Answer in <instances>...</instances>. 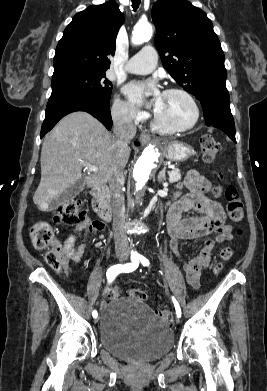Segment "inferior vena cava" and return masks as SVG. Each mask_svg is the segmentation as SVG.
<instances>
[{"label": "inferior vena cava", "instance_id": "obj_1", "mask_svg": "<svg viewBox=\"0 0 267 391\" xmlns=\"http://www.w3.org/2000/svg\"><path fill=\"white\" fill-rule=\"evenodd\" d=\"M114 123V143L113 148L117 152V158L126 150H129V142L136 135V127L133 124V117L129 113L116 114L113 117ZM113 211V231L115 240V250L117 253L128 251L127 235L124 230L125 224V204L122 191L124 175L119 167V162H115L111 167V174L108 179Z\"/></svg>", "mask_w": 267, "mask_h": 391}]
</instances>
